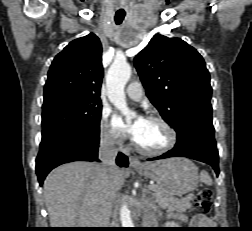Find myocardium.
Listing matches in <instances>:
<instances>
[{
  "label": "myocardium",
  "instance_id": "f54148a6",
  "mask_svg": "<svg viewBox=\"0 0 252 231\" xmlns=\"http://www.w3.org/2000/svg\"><path fill=\"white\" fill-rule=\"evenodd\" d=\"M147 120L156 121V122L162 124L163 127L168 132L169 140L164 147H162L160 149L151 150V149H146V148L141 147L134 139L133 140L134 148L139 153L144 154V155H148V156H158V155H162V154L169 152L177 143V132L174 129V127L165 118H163L161 116L151 115L147 118Z\"/></svg>",
  "mask_w": 252,
  "mask_h": 231
}]
</instances>
